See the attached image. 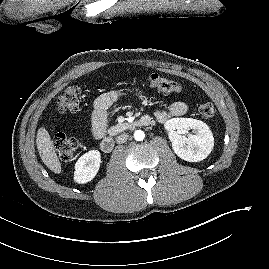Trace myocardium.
Returning <instances> with one entry per match:
<instances>
[{"label":"myocardium","mask_w":269,"mask_h":269,"mask_svg":"<svg viewBox=\"0 0 269 269\" xmlns=\"http://www.w3.org/2000/svg\"><path fill=\"white\" fill-rule=\"evenodd\" d=\"M60 7V5L58 4H53V5H48L42 8L43 11H49V10H53V9H58Z\"/></svg>","instance_id":"1"}]
</instances>
